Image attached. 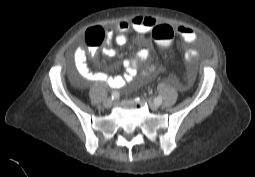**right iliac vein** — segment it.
<instances>
[{
	"mask_svg": "<svg viewBox=\"0 0 255 177\" xmlns=\"http://www.w3.org/2000/svg\"><path fill=\"white\" fill-rule=\"evenodd\" d=\"M113 105V100L111 98H107L103 102V106L105 108H110Z\"/></svg>",
	"mask_w": 255,
	"mask_h": 177,
	"instance_id": "1",
	"label": "right iliac vein"
}]
</instances>
